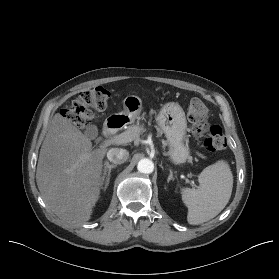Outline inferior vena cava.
I'll list each match as a JSON object with an SVG mask.
<instances>
[{"label":"inferior vena cava","mask_w":279,"mask_h":279,"mask_svg":"<svg viewBox=\"0 0 279 279\" xmlns=\"http://www.w3.org/2000/svg\"><path fill=\"white\" fill-rule=\"evenodd\" d=\"M129 152L122 148H111L107 152V158L114 164H121L127 161Z\"/></svg>","instance_id":"602c4592"}]
</instances>
